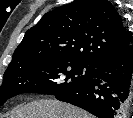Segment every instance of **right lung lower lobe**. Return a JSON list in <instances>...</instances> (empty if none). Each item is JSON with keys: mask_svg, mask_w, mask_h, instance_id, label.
Listing matches in <instances>:
<instances>
[{"mask_svg": "<svg viewBox=\"0 0 133 118\" xmlns=\"http://www.w3.org/2000/svg\"><path fill=\"white\" fill-rule=\"evenodd\" d=\"M132 74L133 47L129 44L97 63L90 81L56 95V98L98 118H123L129 110Z\"/></svg>", "mask_w": 133, "mask_h": 118, "instance_id": "right-lung-lower-lobe-1", "label": "right lung lower lobe"}]
</instances>
